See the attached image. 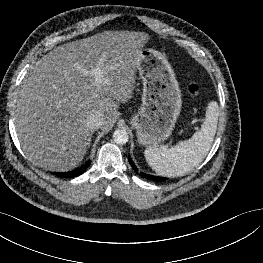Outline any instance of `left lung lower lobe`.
<instances>
[{
	"instance_id": "1",
	"label": "left lung lower lobe",
	"mask_w": 263,
	"mask_h": 263,
	"mask_svg": "<svg viewBox=\"0 0 263 263\" xmlns=\"http://www.w3.org/2000/svg\"><path fill=\"white\" fill-rule=\"evenodd\" d=\"M129 162H130L131 166L133 167V169L135 170V172L138 173V169L136 168V166L131 161H129ZM140 174L143 177L150 178L151 180L157 181V182H164L166 180V178L147 175L143 172H140Z\"/></svg>"
}]
</instances>
